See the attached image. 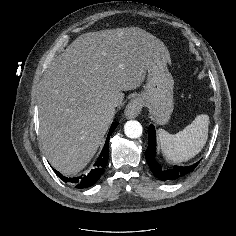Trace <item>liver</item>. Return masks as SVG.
Returning a JSON list of instances; mask_svg holds the SVG:
<instances>
[{
	"label": "liver",
	"mask_w": 236,
	"mask_h": 236,
	"mask_svg": "<svg viewBox=\"0 0 236 236\" xmlns=\"http://www.w3.org/2000/svg\"><path fill=\"white\" fill-rule=\"evenodd\" d=\"M170 61L164 43L136 27L85 33L46 70L38 96L40 140L64 175L82 170L112 122V103L139 87L152 60Z\"/></svg>",
	"instance_id": "1"
}]
</instances>
